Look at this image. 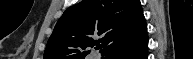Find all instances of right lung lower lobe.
<instances>
[{
	"mask_svg": "<svg viewBox=\"0 0 193 59\" xmlns=\"http://www.w3.org/2000/svg\"><path fill=\"white\" fill-rule=\"evenodd\" d=\"M148 33L123 46L107 59H147Z\"/></svg>",
	"mask_w": 193,
	"mask_h": 59,
	"instance_id": "right-lung-lower-lobe-1",
	"label": "right lung lower lobe"
}]
</instances>
